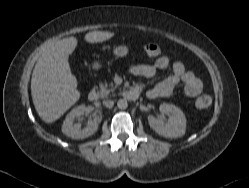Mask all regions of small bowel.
Returning <instances> with one entry per match:
<instances>
[{
    "label": "small bowel",
    "mask_w": 249,
    "mask_h": 188,
    "mask_svg": "<svg viewBox=\"0 0 249 188\" xmlns=\"http://www.w3.org/2000/svg\"><path fill=\"white\" fill-rule=\"evenodd\" d=\"M170 69L171 74L161 83L150 87L146 95L149 99L169 96L174 89L182 85L184 95L196 97L202 91V82L194 73L187 71L180 61L171 62L167 56H160L153 65H137L130 68V72L137 77L151 79L158 71ZM140 91V86L135 87Z\"/></svg>",
    "instance_id": "c3829d8e"
}]
</instances>
